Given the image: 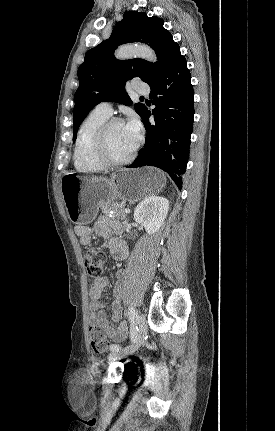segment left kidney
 <instances>
[{"label":"left kidney","instance_id":"5707ae66","mask_svg":"<svg viewBox=\"0 0 275 431\" xmlns=\"http://www.w3.org/2000/svg\"><path fill=\"white\" fill-rule=\"evenodd\" d=\"M169 201L160 196H149L142 200L134 211V220L142 224L146 232H157L168 214Z\"/></svg>","mask_w":275,"mask_h":431}]
</instances>
